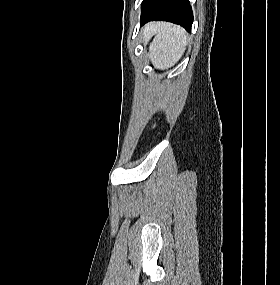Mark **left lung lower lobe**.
<instances>
[{"mask_svg": "<svg viewBox=\"0 0 280 285\" xmlns=\"http://www.w3.org/2000/svg\"><path fill=\"white\" fill-rule=\"evenodd\" d=\"M140 25L149 21H169L191 31L193 13L188 0H143Z\"/></svg>", "mask_w": 280, "mask_h": 285, "instance_id": "left-lung-lower-lobe-1", "label": "left lung lower lobe"}]
</instances>
